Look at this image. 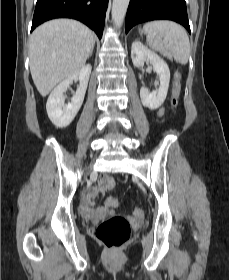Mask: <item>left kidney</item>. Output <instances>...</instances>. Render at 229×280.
<instances>
[{"mask_svg": "<svg viewBox=\"0 0 229 280\" xmlns=\"http://www.w3.org/2000/svg\"><path fill=\"white\" fill-rule=\"evenodd\" d=\"M131 57L132 62L136 67H141L146 61H148L159 77V87L152 93H150L144 86L140 89V98L143 106L150 110H155L163 104L167 96L170 82L169 67L159 55L150 51L139 41H135L132 44ZM139 77L141 78V75Z\"/></svg>", "mask_w": 229, "mask_h": 280, "instance_id": "1", "label": "left kidney"}]
</instances>
